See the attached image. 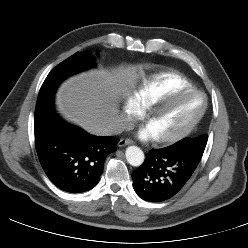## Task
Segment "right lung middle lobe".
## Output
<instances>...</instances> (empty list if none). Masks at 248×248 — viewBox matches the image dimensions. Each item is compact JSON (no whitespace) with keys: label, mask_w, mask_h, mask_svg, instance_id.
<instances>
[{"label":"right lung middle lobe","mask_w":248,"mask_h":248,"mask_svg":"<svg viewBox=\"0 0 248 248\" xmlns=\"http://www.w3.org/2000/svg\"><path fill=\"white\" fill-rule=\"evenodd\" d=\"M95 66L89 52L76 53L56 66L46 77L40 94L55 93L58 85L70 75Z\"/></svg>","instance_id":"right-lung-middle-lobe-1"}]
</instances>
